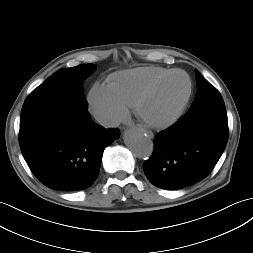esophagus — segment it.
Segmentation results:
<instances>
[{"mask_svg": "<svg viewBox=\"0 0 253 253\" xmlns=\"http://www.w3.org/2000/svg\"><path fill=\"white\" fill-rule=\"evenodd\" d=\"M143 132L147 133V135L152 138L153 137V133L150 130H145V129H141Z\"/></svg>", "mask_w": 253, "mask_h": 253, "instance_id": "obj_1", "label": "esophagus"}]
</instances>
